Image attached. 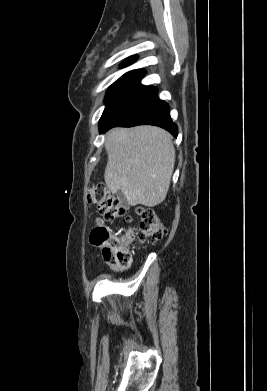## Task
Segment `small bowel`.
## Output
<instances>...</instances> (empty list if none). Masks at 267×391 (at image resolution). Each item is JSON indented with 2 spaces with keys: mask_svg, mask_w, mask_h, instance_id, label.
Segmentation results:
<instances>
[{
  "mask_svg": "<svg viewBox=\"0 0 267 391\" xmlns=\"http://www.w3.org/2000/svg\"><path fill=\"white\" fill-rule=\"evenodd\" d=\"M98 223H100V222H98ZM109 265H110V268H111V269H113V270L116 269V266H114V265H112V264H109Z\"/></svg>",
  "mask_w": 267,
  "mask_h": 391,
  "instance_id": "obj_1",
  "label": "small bowel"
}]
</instances>
